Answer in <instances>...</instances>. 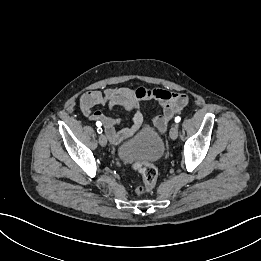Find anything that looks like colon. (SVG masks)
Returning a JSON list of instances; mask_svg holds the SVG:
<instances>
[{"instance_id": "1", "label": "colon", "mask_w": 261, "mask_h": 261, "mask_svg": "<svg viewBox=\"0 0 261 261\" xmlns=\"http://www.w3.org/2000/svg\"><path fill=\"white\" fill-rule=\"evenodd\" d=\"M133 167L142 178V184L135 189L136 194L141 195L152 191L158 177V170L155 165L149 162H143L134 164Z\"/></svg>"}]
</instances>
